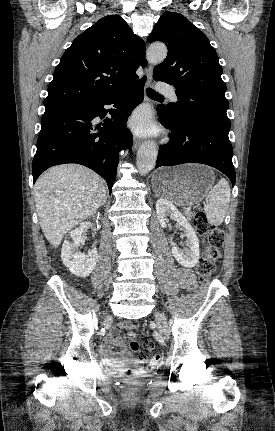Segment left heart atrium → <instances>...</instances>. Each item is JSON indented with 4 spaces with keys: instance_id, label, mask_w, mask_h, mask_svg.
<instances>
[{
    "instance_id": "obj_1",
    "label": "left heart atrium",
    "mask_w": 275,
    "mask_h": 431,
    "mask_svg": "<svg viewBox=\"0 0 275 431\" xmlns=\"http://www.w3.org/2000/svg\"><path fill=\"white\" fill-rule=\"evenodd\" d=\"M130 128L139 135H148L156 131L151 115L146 109H139L129 121Z\"/></svg>"
}]
</instances>
